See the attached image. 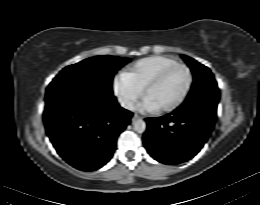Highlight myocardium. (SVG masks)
Here are the masks:
<instances>
[{"label":"myocardium","instance_id":"1","mask_svg":"<svg viewBox=\"0 0 260 205\" xmlns=\"http://www.w3.org/2000/svg\"><path fill=\"white\" fill-rule=\"evenodd\" d=\"M175 67H182L187 71L188 81H187L186 87L183 90V92L181 93V95L175 101H173L171 104L157 108L158 112H170V111H173L176 108H178L185 101V99L187 98V96L192 88V85L194 82V75H193L191 68L187 64L178 61V62L170 64V65L164 67L163 69H161L158 73H156L147 82V84L144 86V88L142 90L143 97H146V94L149 92V90L153 86H155L171 69H173Z\"/></svg>","mask_w":260,"mask_h":205}]
</instances>
